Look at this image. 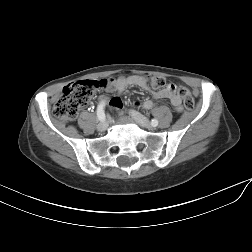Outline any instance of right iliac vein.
Listing matches in <instances>:
<instances>
[{
    "mask_svg": "<svg viewBox=\"0 0 252 252\" xmlns=\"http://www.w3.org/2000/svg\"><path fill=\"white\" fill-rule=\"evenodd\" d=\"M107 126H108L107 121L100 122V123L97 125V130L103 132V131H105V130L107 129Z\"/></svg>",
    "mask_w": 252,
    "mask_h": 252,
    "instance_id": "63e3f726",
    "label": "right iliac vein"
}]
</instances>
